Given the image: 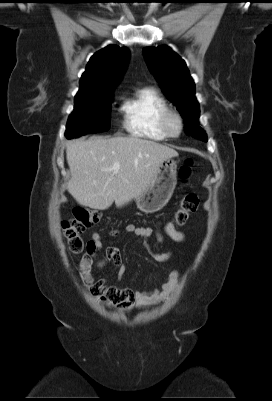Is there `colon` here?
<instances>
[{
    "mask_svg": "<svg viewBox=\"0 0 272 401\" xmlns=\"http://www.w3.org/2000/svg\"><path fill=\"white\" fill-rule=\"evenodd\" d=\"M192 161L187 160L179 169V176L182 181H186L191 174ZM199 197L196 194H187L179 204L175 215L174 222L177 225H183L189 216L196 212L199 207ZM74 218L63 222V233L67 241L69 250L75 254H80L84 249V240L81 234L97 225L101 221V213L96 210H89L84 207H76L74 209ZM102 294V299L106 302L113 300L107 293L98 292Z\"/></svg>",
    "mask_w": 272,
    "mask_h": 401,
    "instance_id": "1",
    "label": "colon"
}]
</instances>
